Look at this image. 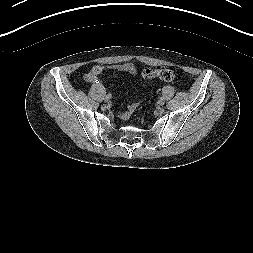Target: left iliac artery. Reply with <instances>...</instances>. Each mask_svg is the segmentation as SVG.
Returning a JSON list of instances; mask_svg holds the SVG:
<instances>
[{
    "mask_svg": "<svg viewBox=\"0 0 253 253\" xmlns=\"http://www.w3.org/2000/svg\"><path fill=\"white\" fill-rule=\"evenodd\" d=\"M158 102H159V103H162V102H163V99H162V98H159V99H158Z\"/></svg>",
    "mask_w": 253,
    "mask_h": 253,
    "instance_id": "left-iliac-artery-1",
    "label": "left iliac artery"
}]
</instances>
